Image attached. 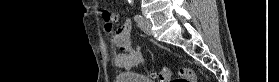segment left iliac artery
<instances>
[{"mask_svg": "<svg viewBox=\"0 0 279 82\" xmlns=\"http://www.w3.org/2000/svg\"><path fill=\"white\" fill-rule=\"evenodd\" d=\"M128 2H129V4H130L131 6H133V3H134L133 0H128ZM142 19H143V17H142L141 15H139V14H135V15H134V20H135L136 22H140V21H142Z\"/></svg>", "mask_w": 279, "mask_h": 82, "instance_id": "obj_1", "label": "left iliac artery"}]
</instances>
